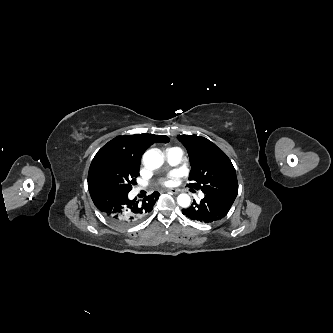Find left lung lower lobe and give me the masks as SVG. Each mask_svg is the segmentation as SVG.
Listing matches in <instances>:
<instances>
[{"label": "left lung lower lobe", "instance_id": "0a47b994", "mask_svg": "<svg viewBox=\"0 0 333 333\" xmlns=\"http://www.w3.org/2000/svg\"><path fill=\"white\" fill-rule=\"evenodd\" d=\"M233 202L229 198L205 194L200 203L194 201L189 208L182 209V212L191 220L211 223L225 217Z\"/></svg>", "mask_w": 333, "mask_h": 333}]
</instances>
